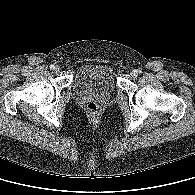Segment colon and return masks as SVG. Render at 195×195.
Wrapping results in <instances>:
<instances>
[{
  "mask_svg": "<svg viewBox=\"0 0 195 195\" xmlns=\"http://www.w3.org/2000/svg\"><path fill=\"white\" fill-rule=\"evenodd\" d=\"M86 110L91 116H97L100 112L99 105L94 101H91L86 105Z\"/></svg>",
  "mask_w": 195,
  "mask_h": 195,
  "instance_id": "1",
  "label": "colon"
}]
</instances>
